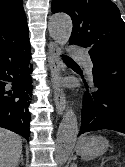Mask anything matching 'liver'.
Here are the masks:
<instances>
[{
    "label": "liver",
    "mask_w": 125,
    "mask_h": 167,
    "mask_svg": "<svg viewBox=\"0 0 125 167\" xmlns=\"http://www.w3.org/2000/svg\"><path fill=\"white\" fill-rule=\"evenodd\" d=\"M22 153V138L0 128V167H16Z\"/></svg>",
    "instance_id": "obj_1"
}]
</instances>
